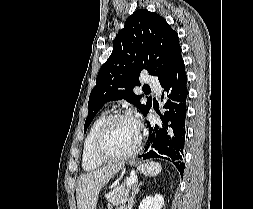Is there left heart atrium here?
I'll return each mask as SVG.
<instances>
[{
    "label": "left heart atrium",
    "mask_w": 253,
    "mask_h": 209,
    "mask_svg": "<svg viewBox=\"0 0 253 209\" xmlns=\"http://www.w3.org/2000/svg\"><path fill=\"white\" fill-rule=\"evenodd\" d=\"M133 123L135 124V126L139 129V121L137 118H132Z\"/></svg>",
    "instance_id": "obj_1"
}]
</instances>
